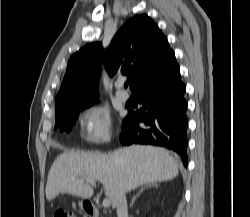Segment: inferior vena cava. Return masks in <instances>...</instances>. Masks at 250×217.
<instances>
[{"mask_svg":"<svg viewBox=\"0 0 250 217\" xmlns=\"http://www.w3.org/2000/svg\"><path fill=\"white\" fill-rule=\"evenodd\" d=\"M117 216L118 217H128V207H127V199L125 193H122L118 204H117Z\"/></svg>","mask_w":250,"mask_h":217,"instance_id":"602c4592","label":"inferior vena cava"}]
</instances>
